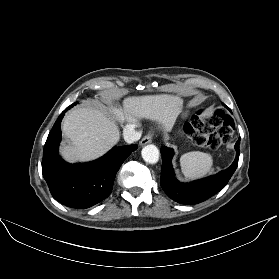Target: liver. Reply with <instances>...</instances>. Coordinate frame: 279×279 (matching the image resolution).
Segmentation results:
<instances>
[{"instance_id": "1", "label": "liver", "mask_w": 279, "mask_h": 279, "mask_svg": "<svg viewBox=\"0 0 279 279\" xmlns=\"http://www.w3.org/2000/svg\"><path fill=\"white\" fill-rule=\"evenodd\" d=\"M182 104L180 97L164 94L127 97L123 109L101 104L74 109L62 123V131L71 144L62 147L61 155L68 162L99 158L120 139L116 120L137 124L146 118L170 131L182 111Z\"/></svg>"}]
</instances>
